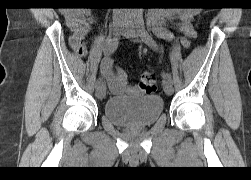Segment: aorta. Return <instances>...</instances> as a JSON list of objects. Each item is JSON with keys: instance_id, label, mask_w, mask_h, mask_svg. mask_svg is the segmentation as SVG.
Wrapping results in <instances>:
<instances>
[{"instance_id": "aorta-1", "label": "aorta", "mask_w": 251, "mask_h": 180, "mask_svg": "<svg viewBox=\"0 0 251 180\" xmlns=\"http://www.w3.org/2000/svg\"><path fill=\"white\" fill-rule=\"evenodd\" d=\"M135 13L142 14V9L141 8H135L133 9Z\"/></svg>"}]
</instances>
